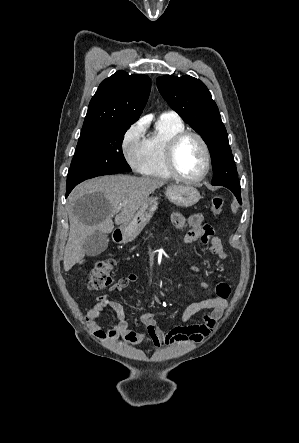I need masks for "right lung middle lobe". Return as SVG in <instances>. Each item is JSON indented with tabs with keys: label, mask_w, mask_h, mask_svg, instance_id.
Listing matches in <instances>:
<instances>
[{
	"label": "right lung middle lobe",
	"mask_w": 299,
	"mask_h": 443,
	"mask_svg": "<svg viewBox=\"0 0 299 443\" xmlns=\"http://www.w3.org/2000/svg\"><path fill=\"white\" fill-rule=\"evenodd\" d=\"M130 125L114 124L81 132L67 186L97 176L132 171L122 152V140Z\"/></svg>",
	"instance_id": "dd1d6c3e"
}]
</instances>
